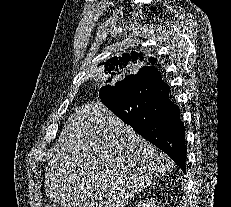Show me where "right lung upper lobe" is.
Here are the masks:
<instances>
[{
	"mask_svg": "<svg viewBox=\"0 0 231 207\" xmlns=\"http://www.w3.org/2000/svg\"><path fill=\"white\" fill-rule=\"evenodd\" d=\"M145 57H139L138 54L131 52V54H122L121 57H113L109 59L106 63V71H108L111 75H120L125 71H128L133 63H137L138 60L143 61ZM151 63H155V58H149Z\"/></svg>",
	"mask_w": 231,
	"mask_h": 207,
	"instance_id": "right-lung-upper-lobe-1",
	"label": "right lung upper lobe"
}]
</instances>
